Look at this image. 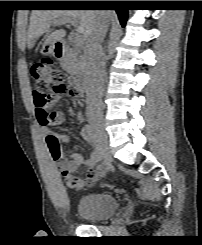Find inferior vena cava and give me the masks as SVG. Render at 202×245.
Returning <instances> with one entry per match:
<instances>
[{
	"label": "inferior vena cava",
	"mask_w": 202,
	"mask_h": 245,
	"mask_svg": "<svg viewBox=\"0 0 202 245\" xmlns=\"http://www.w3.org/2000/svg\"><path fill=\"white\" fill-rule=\"evenodd\" d=\"M108 25L109 19L105 17L103 12H98L95 27L90 33L84 48L86 81L88 84L86 104L89 115L101 116L103 111L102 95L105 65L102 42L107 33Z\"/></svg>",
	"instance_id": "obj_1"
}]
</instances>
